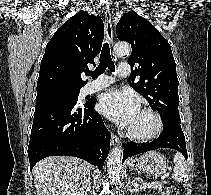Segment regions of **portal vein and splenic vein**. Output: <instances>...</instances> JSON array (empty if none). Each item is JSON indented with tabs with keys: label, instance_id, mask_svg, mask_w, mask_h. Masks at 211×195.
<instances>
[{
	"label": "portal vein and splenic vein",
	"instance_id": "1",
	"mask_svg": "<svg viewBox=\"0 0 211 195\" xmlns=\"http://www.w3.org/2000/svg\"><path fill=\"white\" fill-rule=\"evenodd\" d=\"M152 186V184H147V183H143L141 184V188H150Z\"/></svg>",
	"mask_w": 211,
	"mask_h": 195
}]
</instances>
